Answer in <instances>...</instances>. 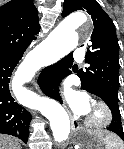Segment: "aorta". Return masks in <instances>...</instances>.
<instances>
[{"mask_svg": "<svg viewBox=\"0 0 124 149\" xmlns=\"http://www.w3.org/2000/svg\"><path fill=\"white\" fill-rule=\"evenodd\" d=\"M87 22L88 18L82 12L74 13L61 21L42 44L29 54L19 71L20 78L25 79L31 75L44 54L53 52L66 55L72 51L78 45L77 29ZM42 112L50 122L55 141L66 140L70 133V120L65 109L57 101L45 99Z\"/></svg>", "mask_w": 124, "mask_h": 149, "instance_id": "1", "label": "aorta"}]
</instances>
